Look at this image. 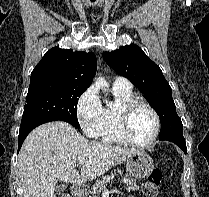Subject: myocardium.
Here are the masks:
<instances>
[{
  "label": "myocardium",
  "instance_id": "f54148a6",
  "mask_svg": "<svg viewBox=\"0 0 209 197\" xmlns=\"http://www.w3.org/2000/svg\"><path fill=\"white\" fill-rule=\"evenodd\" d=\"M143 105L146 108L150 110L154 117L155 121V127H154V132L151 136V138L146 141V142H139L136 141L130 132V115L132 111L135 109V107ZM118 122H119V129L122 137L124 140L136 147H150L152 146L156 140L158 139L159 133H160V127H161V121H160V116L157 112V110L146 100L139 98V97H133L129 99L126 102L121 103L118 106Z\"/></svg>",
  "mask_w": 209,
  "mask_h": 197
}]
</instances>
